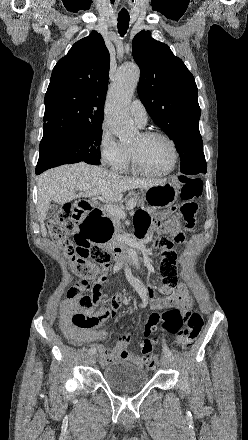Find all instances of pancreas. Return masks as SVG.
Masks as SVG:
<instances>
[{
  "instance_id": "pancreas-1",
  "label": "pancreas",
  "mask_w": 248,
  "mask_h": 440,
  "mask_svg": "<svg viewBox=\"0 0 248 440\" xmlns=\"http://www.w3.org/2000/svg\"><path fill=\"white\" fill-rule=\"evenodd\" d=\"M131 200L135 201V205L136 204H142L143 203V198H141L138 194H129L126 198H125V202L127 203V205L129 204V202ZM105 214L107 216H109L111 218V220L113 221L116 231L117 233H120L121 230V225H120V219L118 217L112 216L110 213L105 212Z\"/></svg>"
}]
</instances>
